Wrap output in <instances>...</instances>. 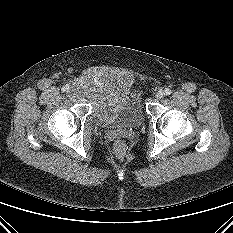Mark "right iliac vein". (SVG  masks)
<instances>
[{
    "label": "right iliac vein",
    "mask_w": 233,
    "mask_h": 233,
    "mask_svg": "<svg viewBox=\"0 0 233 233\" xmlns=\"http://www.w3.org/2000/svg\"><path fill=\"white\" fill-rule=\"evenodd\" d=\"M71 91H72L71 89H68V92H69V93H71Z\"/></svg>",
    "instance_id": "right-iliac-vein-1"
}]
</instances>
